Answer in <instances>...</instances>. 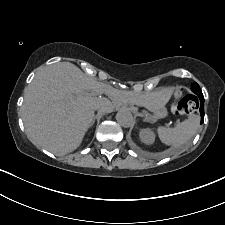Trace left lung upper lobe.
<instances>
[{
	"label": "left lung upper lobe",
	"instance_id": "5c2ea615",
	"mask_svg": "<svg viewBox=\"0 0 225 225\" xmlns=\"http://www.w3.org/2000/svg\"><path fill=\"white\" fill-rule=\"evenodd\" d=\"M191 89H192L193 93H195L196 95L202 94V91H201L199 85L196 82H194L192 84Z\"/></svg>",
	"mask_w": 225,
	"mask_h": 225
}]
</instances>
